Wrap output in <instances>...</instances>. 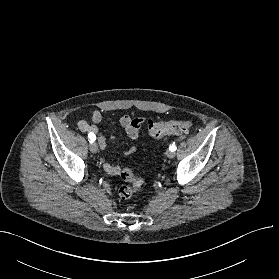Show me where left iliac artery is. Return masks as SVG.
<instances>
[{
	"mask_svg": "<svg viewBox=\"0 0 279 279\" xmlns=\"http://www.w3.org/2000/svg\"><path fill=\"white\" fill-rule=\"evenodd\" d=\"M169 149H170L171 151H175V150H176V145H175V144H172V145L169 147Z\"/></svg>",
	"mask_w": 279,
	"mask_h": 279,
	"instance_id": "left-iliac-artery-1",
	"label": "left iliac artery"
}]
</instances>
